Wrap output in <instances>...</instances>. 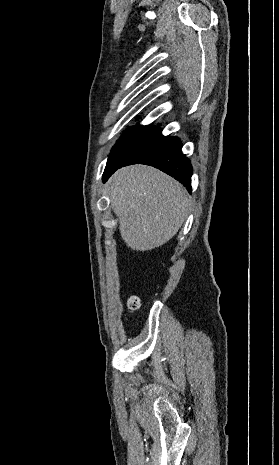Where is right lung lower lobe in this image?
<instances>
[{
  "label": "right lung lower lobe",
  "mask_w": 279,
  "mask_h": 465,
  "mask_svg": "<svg viewBox=\"0 0 279 465\" xmlns=\"http://www.w3.org/2000/svg\"><path fill=\"white\" fill-rule=\"evenodd\" d=\"M182 145L181 141L171 149L159 153L155 157L148 159L141 164H146L154 166L162 170L163 172L174 177L180 181L189 192H191V175H192V166L188 158L182 154L181 151ZM122 166H106L103 181L105 182L114 171Z\"/></svg>",
  "instance_id": "1"
}]
</instances>
